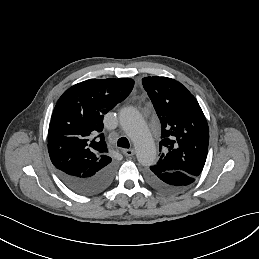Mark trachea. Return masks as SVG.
<instances>
[{
	"label": "trachea",
	"mask_w": 259,
	"mask_h": 259,
	"mask_svg": "<svg viewBox=\"0 0 259 259\" xmlns=\"http://www.w3.org/2000/svg\"><path fill=\"white\" fill-rule=\"evenodd\" d=\"M117 146L122 147V148H129V141L126 137H121L118 142H117Z\"/></svg>",
	"instance_id": "obj_1"
}]
</instances>
